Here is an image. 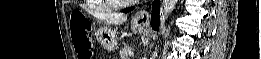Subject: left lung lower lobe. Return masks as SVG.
Here are the masks:
<instances>
[{"label": "left lung lower lobe", "instance_id": "0a47b994", "mask_svg": "<svg viewBox=\"0 0 261 59\" xmlns=\"http://www.w3.org/2000/svg\"><path fill=\"white\" fill-rule=\"evenodd\" d=\"M134 9V7L126 8L122 10L123 12L127 13ZM151 25L154 30L158 29L159 26V3L157 0L154 1L153 9H152V19H151Z\"/></svg>", "mask_w": 261, "mask_h": 59}]
</instances>
